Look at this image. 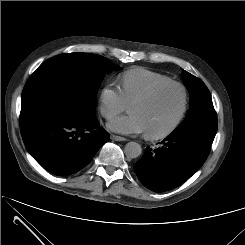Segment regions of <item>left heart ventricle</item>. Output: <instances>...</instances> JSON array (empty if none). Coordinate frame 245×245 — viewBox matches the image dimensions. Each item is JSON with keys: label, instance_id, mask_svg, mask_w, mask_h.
Segmentation results:
<instances>
[{"label": "left heart ventricle", "instance_id": "obj_1", "mask_svg": "<svg viewBox=\"0 0 245 245\" xmlns=\"http://www.w3.org/2000/svg\"><path fill=\"white\" fill-rule=\"evenodd\" d=\"M181 106V91L176 87H168L160 91L150 101L131 104L128 110L140 117L145 132L156 133L166 129L173 123Z\"/></svg>", "mask_w": 245, "mask_h": 245}]
</instances>
